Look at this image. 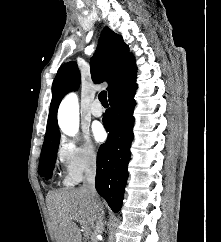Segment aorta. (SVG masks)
Returning <instances> with one entry per match:
<instances>
[{
  "instance_id": "obj_1",
  "label": "aorta",
  "mask_w": 221,
  "mask_h": 242,
  "mask_svg": "<svg viewBox=\"0 0 221 242\" xmlns=\"http://www.w3.org/2000/svg\"><path fill=\"white\" fill-rule=\"evenodd\" d=\"M58 122L61 130L73 136L79 128V104L76 94L67 95L58 110Z\"/></svg>"
}]
</instances>
